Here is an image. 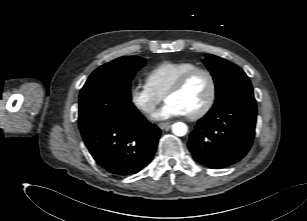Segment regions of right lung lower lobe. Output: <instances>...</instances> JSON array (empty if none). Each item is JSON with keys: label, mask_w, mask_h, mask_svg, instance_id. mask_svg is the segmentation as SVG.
I'll use <instances>...</instances> for the list:
<instances>
[{"label": "right lung lower lobe", "mask_w": 307, "mask_h": 221, "mask_svg": "<svg viewBox=\"0 0 307 221\" xmlns=\"http://www.w3.org/2000/svg\"><path fill=\"white\" fill-rule=\"evenodd\" d=\"M160 133L138 110L99 119L81 131L97 164L117 176L135 174L149 164Z\"/></svg>", "instance_id": "98d812e1"}]
</instances>
